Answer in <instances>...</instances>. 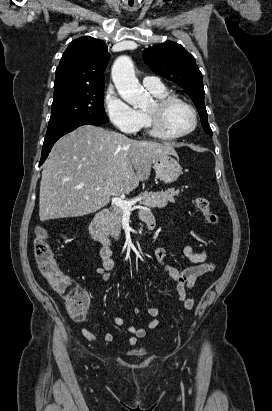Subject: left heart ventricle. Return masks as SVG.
<instances>
[{"mask_svg": "<svg viewBox=\"0 0 272 411\" xmlns=\"http://www.w3.org/2000/svg\"><path fill=\"white\" fill-rule=\"evenodd\" d=\"M154 108L152 103L147 110ZM193 122L191 112L183 105L176 104L168 109L163 118V127L169 133H182L188 130Z\"/></svg>", "mask_w": 272, "mask_h": 411, "instance_id": "obj_1", "label": "left heart ventricle"}]
</instances>
